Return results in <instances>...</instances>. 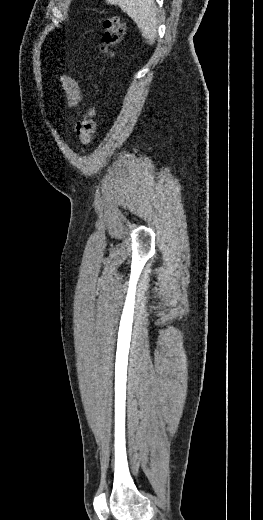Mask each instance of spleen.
<instances>
[{
	"mask_svg": "<svg viewBox=\"0 0 263 520\" xmlns=\"http://www.w3.org/2000/svg\"><path fill=\"white\" fill-rule=\"evenodd\" d=\"M118 5L137 24L148 44L153 45L157 37V6L154 0H106Z\"/></svg>",
	"mask_w": 263,
	"mask_h": 520,
	"instance_id": "obj_1",
	"label": "spleen"
}]
</instances>
